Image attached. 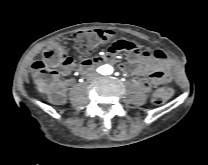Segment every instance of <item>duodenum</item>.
Listing matches in <instances>:
<instances>
[{"instance_id":"duodenum-1","label":"duodenum","mask_w":208,"mask_h":165,"mask_svg":"<svg viewBox=\"0 0 208 165\" xmlns=\"http://www.w3.org/2000/svg\"><path fill=\"white\" fill-rule=\"evenodd\" d=\"M88 67H83L82 69H87Z\"/></svg>"}]
</instances>
